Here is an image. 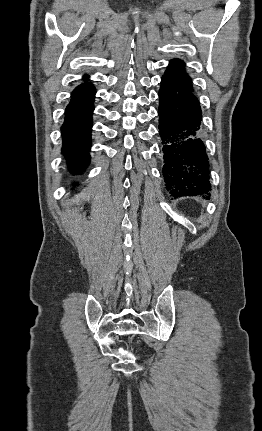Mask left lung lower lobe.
I'll list each match as a JSON object with an SVG mask.
<instances>
[{"instance_id":"left-lung-lower-lobe-1","label":"left lung lower lobe","mask_w":262,"mask_h":431,"mask_svg":"<svg viewBox=\"0 0 262 431\" xmlns=\"http://www.w3.org/2000/svg\"><path fill=\"white\" fill-rule=\"evenodd\" d=\"M158 114L166 189L174 197L207 194L209 161L201 138L202 112L195 93L162 77Z\"/></svg>"}]
</instances>
